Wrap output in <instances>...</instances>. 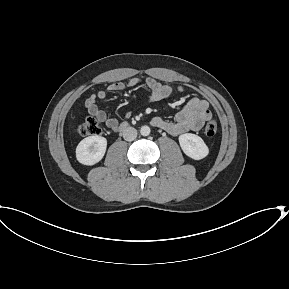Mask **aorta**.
Segmentation results:
<instances>
[{
  "label": "aorta",
  "mask_w": 289,
  "mask_h": 289,
  "mask_svg": "<svg viewBox=\"0 0 289 289\" xmlns=\"http://www.w3.org/2000/svg\"><path fill=\"white\" fill-rule=\"evenodd\" d=\"M140 133L142 136H148L150 134V128L148 126H142Z\"/></svg>",
  "instance_id": "obj_1"
}]
</instances>
